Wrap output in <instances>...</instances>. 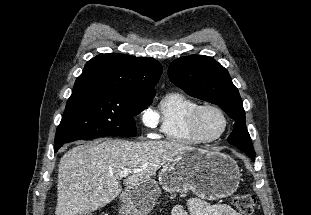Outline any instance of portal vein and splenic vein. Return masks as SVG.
I'll list each match as a JSON object with an SVG mask.
<instances>
[{"instance_id":"portal-vein-and-splenic-vein-1","label":"portal vein and splenic vein","mask_w":311,"mask_h":215,"mask_svg":"<svg viewBox=\"0 0 311 215\" xmlns=\"http://www.w3.org/2000/svg\"><path fill=\"white\" fill-rule=\"evenodd\" d=\"M137 170H134L133 172H136ZM132 171L131 170H127V169H124L120 172V177H127L129 174H131Z\"/></svg>"}]
</instances>
